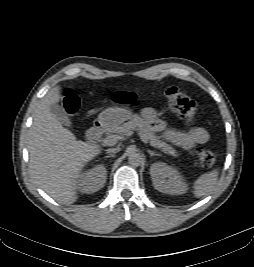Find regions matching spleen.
I'll return each mask as SVG.
<instances>
[{
	"instance_id": "obj_1",
	"label": "spleen",
	"mask_w": 254,
	"mask_h": 267,
	"mask_svg": "<svg viewBox=\"0 0 254 267\" xmlns=\"http://www.w3.org/2000/svg\"><path fill=\"white\" fill-rule=\"evenodd\" d=\"M218 181V171L213 170L210 173L201 175L193 185V193L199 198L210 194L215 188Z\"/></svg>"
}]
</instances>
